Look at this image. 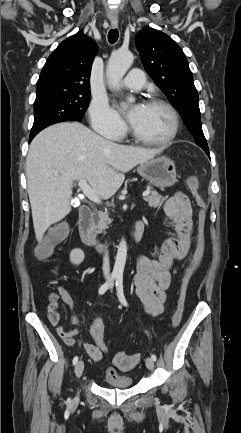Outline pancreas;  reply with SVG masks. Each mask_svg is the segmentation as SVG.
I'll list each match as a JSON object with an SVG mask.
<instances>
[{
  "label": "pancreas",
  "instance_id": "1",
  "mask_svg": "<svg viewBox=\"0 0 241 433\" xmlns=\"http://www.w3.org/2000/svg\"><path fill=\"white\" fill-rule=\"evenodd\" d=\"M161 199L162 196L155 191H152L150 195L144 198V200L148 202L149 206L152 208H157L161 206L162 205ZM111 221L112 220L109 218V213L107 212V210H105L104 212L99 211L97 213V218L95 221L96 222L95 228L97 232L101 233L103 230L107 229Z\"/></svg>",
  "mask_w": 241,
  "mask_h": 433
}]
</instances>
